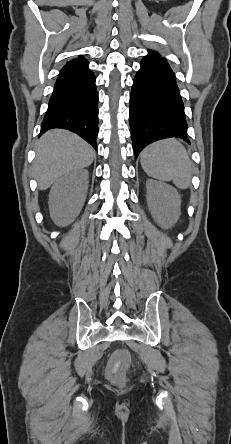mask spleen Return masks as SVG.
<instances>
[{"label":"spleen","mask_w":231,"mask_h":444,"mask_svg":"<svg viewBox=\"0 0 231 444\" xmlns=\"http://www.w3.org/2000/svg\"><path fill=\"white\" fill-rule=\"evenodd\" d=\"M141 166L146 174L160 181H173L176 187L187 189L193 167L185 147L169 138L148 145L141 154Z\"/></svg>","instance_id":"3e777b00"}]
</instances>
